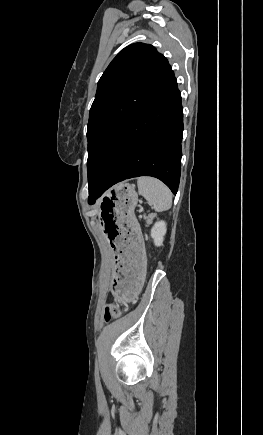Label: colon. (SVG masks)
<instances>
[{"label": "colon", "mask_w": 263, "mask_h": 435, "mask_svg": "<svg viewBox=\"0 0 263 435\" xmlns=\"http://www.w3.org/2000/svg\"><path fill=\"white\" fill-rule=\"evenodd\" d=\"M122 310V305L108 304L104 308V319L109 321L111 318H116L120 316Z\"/></svg>", "instance_id": "colon-1"}]
</instances>
